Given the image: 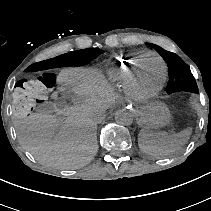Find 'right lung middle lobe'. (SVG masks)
<instances>
[{
    "label": "right lung middle lobe",
    "mask_w": 211,
    "mask_h": 211,
    "mask_svg": "<svg viewBox=\"0 0 211 211\" xmlns=\"http://www.w3.org/2000/svg\"><path fill=\"white\" fill-rule=\"evenodd\" d=\"M103 52L104 51L100 49H83L72 52L70 55L73 56V59H75V61H73V64L78 63V65H81L89 63L91 60H93Z\"/></svg>",
    "instance_id": "right-lung-middle-lobe-1"
}]
</instances>
